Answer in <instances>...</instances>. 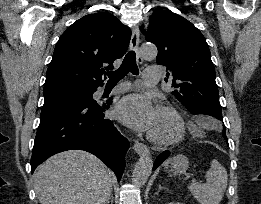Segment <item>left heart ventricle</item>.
<instances>
[{
    "instance_id": "obj_1",
    "label": "left heart ventricle",
    "mask_w": 261,
    "mask_h": 204,
    "mask_svg": "<svg viewBox=\"0 0 261 204\" xmlns=\"http://www.w3.org/2000/svg\"><path fill=\"white\" fill-rule=\"evenodd\" d=\"M175 130V123L170 115L163 111H157L155 122L150 132L159 137L171 135Z\"/></svg>"
}]
</instances>
